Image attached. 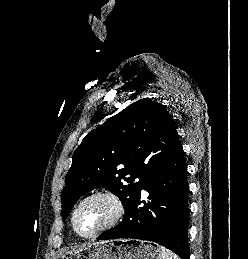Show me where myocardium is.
<instances>
[{"mask_svg":"<svg viewBox=\"0 0 248 259\" xmlns=\"http://www.w3.org/2000/svg\"><path fill=\"white\" fill-rule=\"evenodd\" d=\"M99 197L106 198V199L110 200L113 203L114 208H115L114 216L112 217V219L107 224L102 226L100 229H98L94 233H91V234H88V235L82 234L78 230L77 225H76V215H77V212H78V210L80 209V207L84 203H86L89 200H92V199H95V198H99ZM124 211H125V208H124L123 201L113 191H110V190H98V191L92 192L89 195H87L84 198H82L78 202V204L75 206V208L73 210V213H72V217H71V223H72L73 230L75 231V233L77 235H79L82 238H85V239L95 238V237L99 236L100 234L104 233L105 231H107V230L113 228L114 226H116L119 223V221L122 219V217L124 215Z\"/></svg>","mask_w":248,"mask_h":259,"instance_id":"myocardium-1","label":"myocardium"}]
</instances>
